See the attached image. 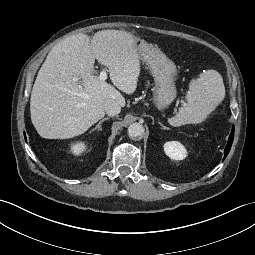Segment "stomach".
I'll use <instances>...</instances> for the list:
<instances>
[{
	"instance_id": "1",
	"label": "stomach",
	"mask_w": 255,
	"mask_h": 255,
	"mask_svg": "<svg viewBox=\"0 0 255 255\" xmlns=\"http://www.w3.org/2000/svg\"><path fill=\"white\" fill-rule=\"evenodd\" d=\"M139 58L148 65L155 81L153 103L158 109H166L177 96L175 78L177 68L158 47L148 44L143 39H137L134 43Z\"/></svg>"
}]
</instances>
